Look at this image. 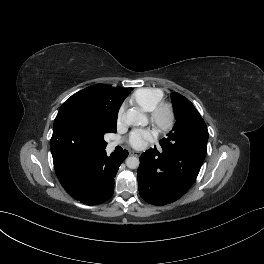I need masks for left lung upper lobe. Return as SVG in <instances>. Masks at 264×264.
I'll return each mask as SVG.
<instances>
[{
  "label": "left lung upper lobe",
  "mask_w": 264,
  "mask_h": 264,
  "mask_svg": "<svg viewBox=\"0 0 264 264\" xmlns=\"http://www.w3.org/2000/svg\"><path fill=\"white\" fill-rule=\"evenodd\" d=\"M176 123L167 138L159 143L164 150L183 148L190 144L207 143L208 130L193 104L179 93L171 94Z\"/></svg>",
  "instance_id": "left-lung-upper-lobe-1"
}]
</instances>
